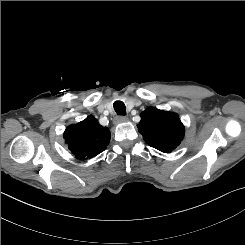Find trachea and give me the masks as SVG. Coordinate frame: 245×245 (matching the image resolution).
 <instances>
[{"label": "trachea", "instance_id": "trachea-1", "mask_svg": "<svg viewBox=\"0 0 245 245\" xmlns=\"http://www.w3.org/2000/svg\"><path fill=\"white\" fill-rule=\"evenodd\" d=\"M114 109L118 115L125 116L126 115V107L122 101L114 102Z\"/></svg>", "mask_w": 245, "mask_h": 245}]
</instances>
